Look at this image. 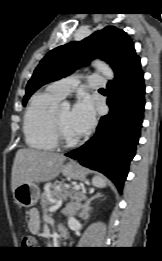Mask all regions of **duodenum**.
Returning a JSON list of instances; mask_svg holds the SVG:
<instances>
[{"instance_id":"410a0bca","label":"duodenum","mask_w":162,"mask_h":261,"mask_svg":"<svg viewBox=\"0 0 162 261\" xmlns=\"http://www.w3.org/2000/svg\"><path fill=\"white\" fill-rule=\"evenodd\" d=\"M59 236H60L61 238H64V237L67 236V230H66L64 227H60Z\"/></svg>"}]
</instances>
